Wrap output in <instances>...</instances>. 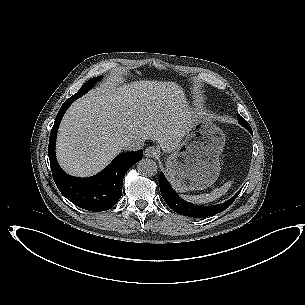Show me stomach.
<instances>
[{
  "label": "stomach",
  "instance_id": "1",
  "mask_svg": "<svg viewBox=\"0 0 305 305\" xmlns=\"http://www.w3.org/2000/svg\"><path fill=\"white\" fill-rule=\"evenodd\" d=\"M223 131L204 116L194 115L184 140L166 160L165 173L176 192L204 190L217 180Z\"/></svg>",
  "mask_w": 305,
  "mask_h": 305
}]
</instances>
